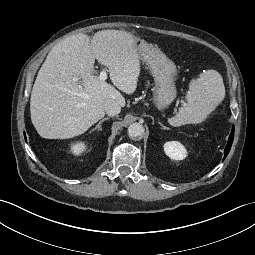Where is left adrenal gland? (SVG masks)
Instances as JSON below:
<instances>
[{
    "label": "left adrenal gland",
    "instance_id": "a2214340",
    "mask_svg": "<svg viewBox=\"0 0 255 255\" xmlns=\"http://www.w3.org/2000/svg\"><path fill=\"white\" fill-rule=\"evenodd\" d=\"M158 124L163 128V129H169L168 127L164 126L161 122H158Z\"/></svg>",
    "mask_w": 255,
    "mask_h": 255
}]
</instances>
